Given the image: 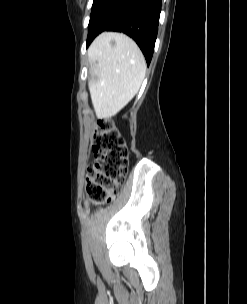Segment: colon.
Here are the masks:
<instances>
[{"mask_svg": "<svg viewBox=\"0 0 247 304\" xmlns=\"http://www.w3.org/2000/svg\"><path fill=\"white\" fill-rule=\"evenodd\" d=\"M95 161L87 170L86 191L94 204L113 200L128 171V149L120 132L108 119L98 122L94 135Z\"/></svg>", "mask_w": 247, "mask_h": 304, "instance_id": "1", "label": "colon"}]
</instances>
